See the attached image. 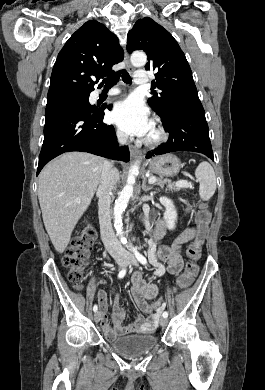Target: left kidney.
<instances>
[{
	"instance_id": "1",
	"label": "left kidney",
	"mask_w": 265,
	"mask_h": 390,
	"mask_svg": "<svg viewBox=\"0 0 265 390\" xmlns=\"http://www.w3.org/2000/svg\"><path fill=\"white\" fill-rule=\"evenodd\" d=\"M159 201L166 208L164 213V220L167 223V227L168 229L173 230L177 220V211L173 201L167 197H160Z\"/></svg>"
}]
</instances>
